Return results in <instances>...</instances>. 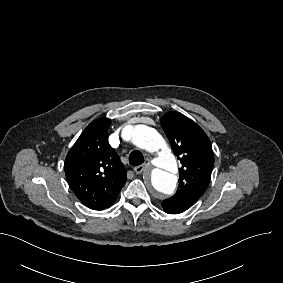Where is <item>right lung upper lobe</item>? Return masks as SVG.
I'll return each instance as SVG.
<instances>
[{"instance_id":"right-lung-upper-lobe-1","label":"right lung upper lobe","mask_w":283,"mask_h":283,"mask_svg":"<svg viewBox=\"0 0 283 283\" xmlns=\"http://www.w3.org/2000/svg\"><path fill=\"white\" fill-rule=\"evenodd\" d=\"M106 117L90 123L65 160V174L76 197L88 208L103 210L116 201L126 181V170L108 143Z\"/></svg>"}]
</instances>
